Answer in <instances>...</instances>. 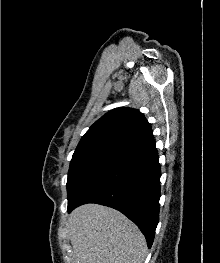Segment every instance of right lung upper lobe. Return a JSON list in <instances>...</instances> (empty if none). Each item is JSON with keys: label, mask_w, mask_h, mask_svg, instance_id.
<instances>
[{"label": "right lung upper lobe", "mask_w": 220, "mask_h": 263, "mask_svg": "<svg viewBox=\"0 0 220 263\" xmlns=\"http://www.w3.org/2000/svg\"><path fill=\"white\" fill-rule=\"evenodd\" d=\"M153 137L144 115L132 108H116L97 120L81 138L76 151L111 149L121 151Z\"/></svg>", "instance_id": "right-lung-upper-lobe-1"}]
</instances>
